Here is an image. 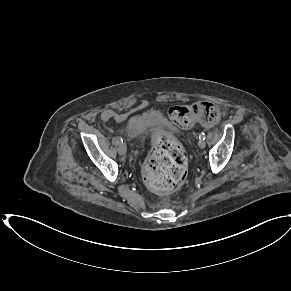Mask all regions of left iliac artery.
I'll return each instance as SVG.
<instances>
[{
	"instance_id": "obj_1",
	"label": "left iliac artery",
	"mask_w": 291,
	"mask_h": 291,
	"mask_svg": "<svg viewBox=\"0 0 291 291\" xmlns=\"http://www.w3.org/2000/svg\"><path fill=\"white\" fill-rule=\"evenodd\" d=\"M199 138L202 139V140H205V138H206L205 133H201V134L199 135Z\"/></svg>"
}]
</instances>
